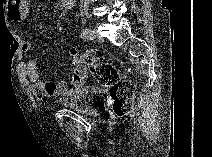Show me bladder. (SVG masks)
<instances>
[{"label":"bladder","instance_id":"obj_1","mask_svg":"<svg viewBox=\"0 0 212 157\" xmlns=\"http://www.w3.org/2000/svg\"><path fill=\"white\" fill-rule=\"evenodd\" d=\"M104 97V91L97 86H85L77 90L64 93L58 105L64 108L75 109L81 113L96 116L98 106Z\"/></svg>","mask_w":212,"mask_h":157}]
</instances>
